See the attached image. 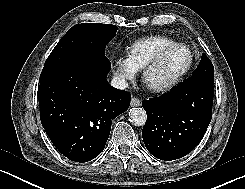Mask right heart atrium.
I'll use <instances>...</instances> for the list:
<instances>
[{
	"label": "right heart atrium",
	"mask_w": 245,
	"mask_h": 189,
	"mask_svg": "<svg viewBox=\"0 0 245 189\" xmlns=\"http://www.w3.org/2000/svg\"><path fill=\"white\" fill-rule=\"evenodd\" d=\"M113 67L116 77L122 83L133 80L137 74V69L131 64L127 57L115 59Z\"/></svg>",
	"instance_id": "obj_1"
}]
</instances>
